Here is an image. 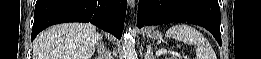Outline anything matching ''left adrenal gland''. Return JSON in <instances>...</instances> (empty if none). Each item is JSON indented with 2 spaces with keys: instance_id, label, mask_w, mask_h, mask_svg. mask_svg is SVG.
I'll return each instance as SVG.
<instances>
[{
  "instance_id": "obj_1",
  "label": "left adrenal gland",
  "mask_w": 261,
  "mask_h": 59,
  "mask_svg": "<svg viewBox=\"0 0 261 59\" xmlns=\"http://www.w3.org/2000/svg\"><path fill=\"white\" fill-rule=\"evenodd\" d=\"M145 59H156V56L153 54L151 45H148L147 52L145 54Z\"/></svg>"
}]
</instances>
